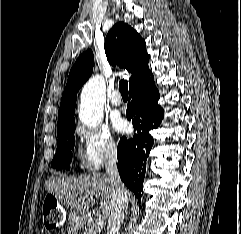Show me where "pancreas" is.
I'll use <instances>...</instances> for the list:
<instances>
[{
	"label": "pancreas",
	"instance_id": "1",
	"mask_svg": "<svg viewBox=\"0 0 241 234\" xmlns=\"http://www.w3.org/2000/svg\"><path fill=\"white\" fill-rule=\"evenodd\" d=\"M84 234H100V230L94 228L92 225H88L87 227H85Z\"/></svg>",
	"mask_w": 241,
	"mask_h": 234
}]
</instances>
